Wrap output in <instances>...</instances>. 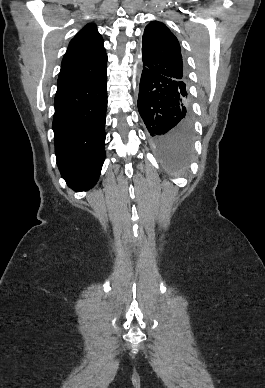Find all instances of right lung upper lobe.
Masks as SVG:
<instances>
[{"instance_id":"cb5924a9","label":"right lung upper lobe","mask_w":265,"mask_h":388,"mask_svg":"<svg viewBox=\"0 0 265 388\" xmlns=\"http://www.w3.org/2000/svg\"><path fill=\"white\" fill-rule=\"evenodd\" d=\"M94 24H87L70 41L63 57L57 89L97 79L107 72V54Z\"/></svg>"}]
</instances>
